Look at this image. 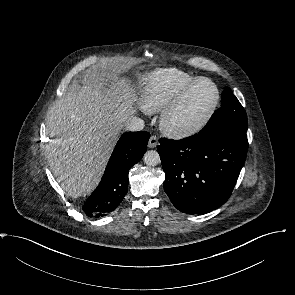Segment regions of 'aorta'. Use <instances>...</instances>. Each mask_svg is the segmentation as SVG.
I'll return each instance as SVG.
<instances>
[{
	"instance_id": "762f6f07",
	"label": "aorta",
	"mask_w": 295,
	"mask_h": 295,
	"mask_svg": "<svg viewBox=\"0 0 295 295\" xmlns=\"http://www.w3.org/2000/svg\"><path fill=\"white\" fill-rule=\"evenodd\" d=\"M144 163L147 166H156L160 163V156L157 151L149 150L144 155Z\"/></svg>"
}]
</instances>
